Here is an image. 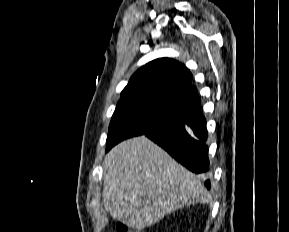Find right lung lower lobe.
Returning a JSON list of instances; mask_svg holds the SVG:
<instances>
[{"mask_svg": "<svg viewBox=\"0 0 289 232\" xmlns=\"http://www.w3.org/2000/svg\"><path fill=\"white\" fill-rule=\"evenodd\" d=\"M145 135L192 172L206 174L209 171L206 119L201 108L184 112L178 119ZM205 185L210 188V181Z\"/></svg>", "mask_w": 289, "mask_h": 232, "instance_id": "right-lung-lower-lobe-1", "label": "right lung lower lobe"}]
</instances>
